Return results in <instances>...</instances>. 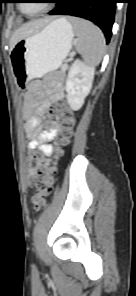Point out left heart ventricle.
<instances>
[{
  "mask_svg": "<svg viewBox=\"0 0 136 296\" xmlns=\"http://www.w3.org/2000/svg\"><path fill=\"white\" fill-rule=\"evenodd\" d=\"M47 3L37 2V1H28V3L24 4L25 9L29 13H36L40 11Z\"/></svg>",
  "mask_w": 136,
  "mask_h": 296,
  "instance_id": "b2bd125f",
  "label": "left heart ventricle"
}]
</instances>
